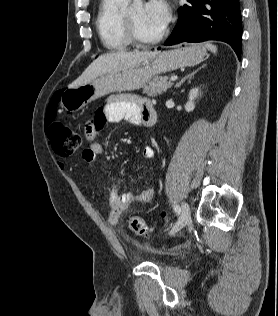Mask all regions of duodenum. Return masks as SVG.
<instances>
[{
  "label": "duodenum",
  "instance_id": "1",
  "mask_svg": "<svg viewBox=\"0 0 278 316\" xmlns=\"http://www.w3.org/2000/svg\"><path fill=\"white\" fill-rule=\"evenodd\" d=\"M157 122V112L153 107H149L143 116V123L148 126L152 127Z\"/></svg>",
  "mask_w": 278,
  "mask_h": 316
}]
</instances>
